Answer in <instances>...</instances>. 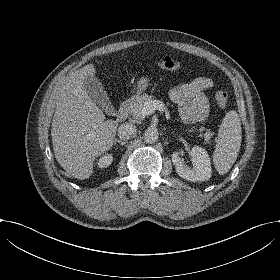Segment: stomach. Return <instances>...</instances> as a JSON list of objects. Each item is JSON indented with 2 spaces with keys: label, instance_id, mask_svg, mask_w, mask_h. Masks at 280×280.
Segmentation results:
<instances>
[{
  "label": "stomach",
  "instance_id": "0dacf381",
  "mask_svg": "<svg viewBox=\"0 0 280 280\" xmlns=\"http://www.w3.org/2000/svg\"><path fill=\"white\" fill-rule=\"evenodd\" d=\"M149 86V79L147 77H142L138 82H137V95H140L144 90L147 89Z\"/></svg>",
  "mask_w": 280,
  "mask_h": 280
}]
</instances>
